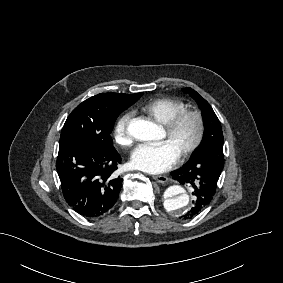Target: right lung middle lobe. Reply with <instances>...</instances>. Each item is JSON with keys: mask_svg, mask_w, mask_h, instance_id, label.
Listing matches in <instances>:
<instances>
[{"mask_svg": "<svg viewBox=\"0 0 283 283\" xmlns=\"http://www.w3.org/2000/svg\"><path fill=\"white\" fill-rule=\"evenodd\" d=\"M143 93H102L79 104L68 116L60 143L83 140L100 148H114L110 136L117 117L140 99Z\"/></svg>", "mask_w": 283, "mask_h": 283, "instance_id": "dd1d6c3e", "label": "right lung middle lobe"}]
</instances>
